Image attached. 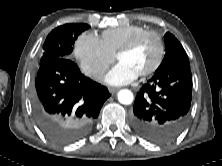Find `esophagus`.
<instances>
[{"instance_id":"34e87169","label":"esophagus","mask_w":222,"mask_h":166,"mask_svg":"<svg viewBox=\"0 0 222 166\" xmlns=\"http://www.w3.org/2000/svg\"><path fill=\"white\" fill-rule=\"evenodd\" d=\"M119 89L118 88H109L111 94H115Z\"/></svg>"}]
</instances>
